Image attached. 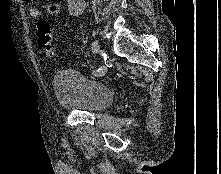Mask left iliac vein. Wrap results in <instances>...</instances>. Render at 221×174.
<instances>
[{"label": "left iliac vein", "instance_id": "4c4485c4", "mask_svg": "<svg viewBox=\"0 0 221 174\" xmlns=\"http://www.w3.org/2000/svg\"><path fill=\"white\" fill-rule=\"evenodd\" d=\"M91 50H92V53L93 54H98L99 51H100V45H99V42L98 40H94L91 44Z\"/></svg>", "mask_w": 221, "mask_h": 174}]
</instances>
